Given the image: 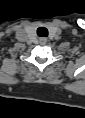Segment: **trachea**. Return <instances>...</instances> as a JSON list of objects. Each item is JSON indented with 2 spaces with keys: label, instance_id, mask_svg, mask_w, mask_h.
<instances>
[{
  "label": "trachea",
  "instance_id": "trachea-1",
  "mask_svg": "<svg viewBox=\"0 0 85 118\" xmlns=\"http://www.w3.org/2000/svg\"><path fill=\"white\" fill-rule=\"evenodd\" d=\"M37 35L39 37H47L48 36V30L45 27H39L37 29Z\"/></svg>",
  "mask_w": 85,
  "mask_h": 118
}]
</instances>
